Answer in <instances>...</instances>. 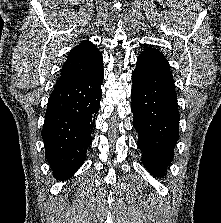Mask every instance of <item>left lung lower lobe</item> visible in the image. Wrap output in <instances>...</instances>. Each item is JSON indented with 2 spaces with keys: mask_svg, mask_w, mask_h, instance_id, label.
I'll return each mask as SVG.
<instances>
[{
  "mask_svg": "<svg viewBox=\"0 0 221 223\" xmlns=\"http://www.w3.org/2000/svg\"><path fill=\"white\" fill-rule=\"evenodd\" d=\"M132 80L133 126L139 134L142 162L155 177H163L174 156L180 118L165 56L153 47L145 49L137 59Z\"/></svg>",
  "mask_w": 221,
  "mask_h": 223,
  "instance_id": "left-lung-lower-lobe-1",
  "label": "left lung lower lobe"
}]
</instances>
